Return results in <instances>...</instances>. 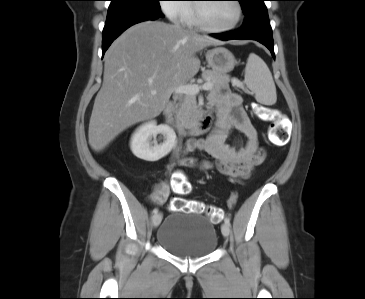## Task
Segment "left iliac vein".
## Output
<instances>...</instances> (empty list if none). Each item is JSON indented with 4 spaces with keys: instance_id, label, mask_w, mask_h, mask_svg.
<instances>
[{
    "instance_id": "4c4485c4",
    "label": "left iliac vein",
    "mask_w": 365,
    "mask_h": 299,
    "mask_svg": "<svg viewBox=\"0 0 365 299\" xmlns=\"http://www.w3.org/2000/svg\"><path fill=\"white\" fill-rule=\"evenodd\" d=\"M221 231H222V234H223L224 237H228L229 234H230V225L224 223L221 226Z\"/></svg>"
}]
</instances>
